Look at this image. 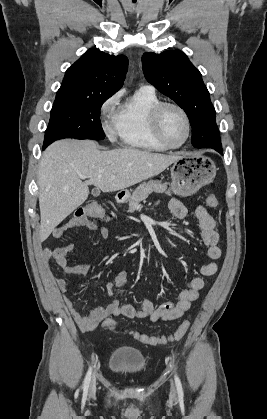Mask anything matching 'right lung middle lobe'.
<instances>
[{
    "mask_svg": "<svg viewBox=\"0 0 267 419\" xmlns=\"http://www.w3.org/2000/svg\"><path fill=\"white\" fill-rule=\"evenodd\" d=\"M110 96H56L45 142L62 138L103 140L100 109Z\"/></svg>",
    "mask_w": 267,
    "mask_h": 419,
    "instance_id": "1",
    "label": "right lung middle lobe"
}]
</instances>
